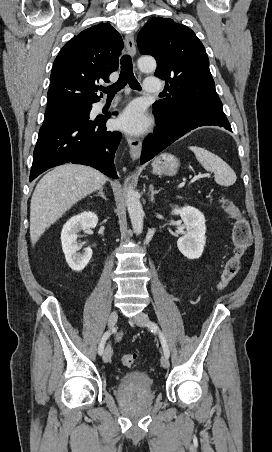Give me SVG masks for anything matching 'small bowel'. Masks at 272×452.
Listing matches in <instances>:
<instances>
[{
    "label": "small bowel",
    "mask_w": 272,
    "mask_h": 452,
    "mask_svg": "<svg viewBox=\"0 0 272 452\" xmlns=\"http://www.w3.org/2000/svg\"><path fill=\"white\" fill-rule=\"evenodd\" d=\"M121 338H122V334L119 333V334L116 336V342H119V341L121 340Z\"/></svg>",
    "instance_id": "obj_1"
}]
</instances>
